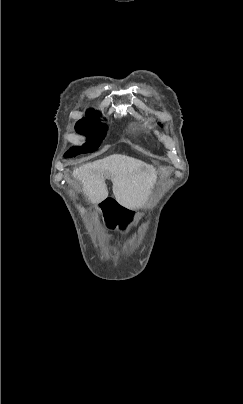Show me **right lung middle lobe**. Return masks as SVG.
Segmentation results:
<instances>
[{
  "instance_id": "dd1d6c3e",
  "label": "right lung middle lobe",
  "mask_w": 243,
  "mask_h": 404,
  "mask_svg": "<svg viewBox=\"0 0 243 404\" xmlns=\"http://www.w3.org/2000/svg\"><path fill=\"white\" fill-rule=\"evenodd\" d=\"M97 117H86L76 123V131L86 135L87 142L81 147L67 151L64 155L66 158L77 156L82 152H93L99 147V142L105 137L107 126L98 122Z\"/></svg>"
}]
</instances>
